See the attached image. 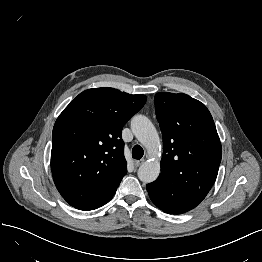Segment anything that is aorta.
I'll return each mask as SVG.
<instances>
[{"instance_id":"obj_1","label":"aorta","mask_w":262,"mask_h":262,"mask_svg":"<svg viewBox=\"0 0 262 262\" xmlns=\"http://www.w3.org/2000/svg\"><path fill=\"white\" fill-rule=\"evenodd\" d=\"M131 129L138 141L147 149L151 159L138 169V178L144 183L155 181L160 174L159 149L160 138L153 123L144 115L132 118Z\"/></svg>"}]
</instances>
